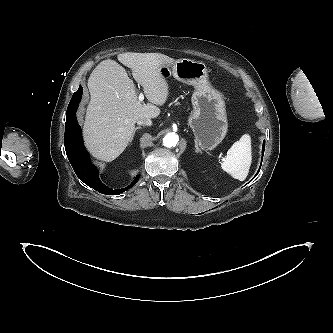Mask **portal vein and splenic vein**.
Returning a JSON list of instances; mask_svg holds the SVG:
<instances>
[{"label": "portal vein and splenic vein", "mask_w": 333, "mask_h": 333, "mask_svg": "<svg viewBox=\"0 0 333 333\" xmlns=\"http://www.w3.org/2000/svg\"><path fill=\"white\" fill-rule=\"evenodd\" d=\"M139 102H142L144 100V94L140 93L138 97Z\"/></svg>", "instance_id": "18ae733b"}]
</instances>
